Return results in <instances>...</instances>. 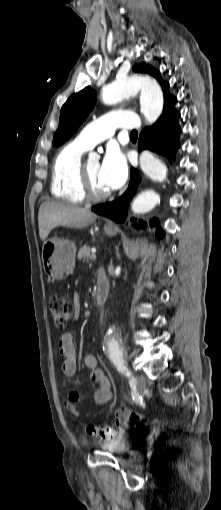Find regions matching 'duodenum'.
<instances>
[{"label":"duodenum","mask_w":221,"mask_h":510,"mask_svg":"<svg viewBox=\"0 0 221 510\" xmlns=\"http://www.w3.org/2000/svg\"><path fill=\"white\" fill-rule=\"evenodd\" d=\"M109 292V283L106 275L104 272L99 271L97 273V280H96V292H95V300L94 304L95 306L99 307L104 304V302L107 299Z\"/></svg>","instance_id":"duodenum-1"}]
</instances>
